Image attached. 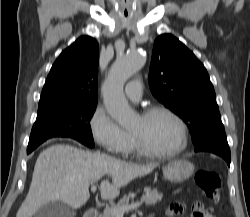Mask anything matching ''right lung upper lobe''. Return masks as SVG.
Segmentation results:
<instances>
[{
    "mask_svg": "<svg viewBox=\"0 0 250 217\" xmlns=\"http://www.w3.org/2000/svg\"><path fill=\"white\" fill-rule=\"evenodd\" d=\"M99 45L78 38L54 62L44 84L38 113L79 104L97 103Z\"/></svg>",
    "mask_w": 250,
    "mask_h": 217,
    "instance_id": "obj_1",
    "label": "right lung upper lobe"
}]
</instances>
